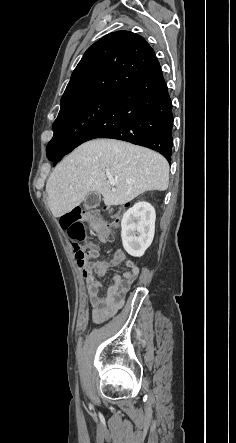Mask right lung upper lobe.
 Listing matches in <instances>:
<instances>
[{
  "label": "right lung upper lobe",
  "instance_id": "cb5924a9",
  "mask_svg": "<svg viewBox=\"0 0 236 443\" xmlns=\"http://www.w3.org/2000/svg\"><path fill=\"white\" fill-rule=\"evenodd\" d=\"M156 61L151 46L135 33L117 31L104 36L87 49L73 71L60 111L97 94H118Z\"/></svg>",
  "mask_w": 236,
  "mask_h": 443
}]
</instances>
